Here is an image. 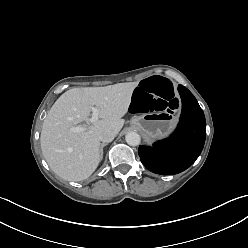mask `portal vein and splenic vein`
I'll list each match as a JSON object with an SVG mask.
<instances>
[{
	"instance_id": "obj_1",
	"label": "portal vein and splenic vein",
	"mask_w": 248,
	"mask_h": 248,
	"mask_svg": "<svg viewBox=\"0 0 248 248\" xmlns=\"http://www.w3.org/2000/svg\"><path fill=\"white\" fill-rule=\"evenodd\" d=\"M92 117L89 119L90 123L96 122L99 118V110L96 107H92ZM85 128L83 126H76V127H72L70 128L71 132H81L83 131Z\"/></svg>"
}]
</instances>
